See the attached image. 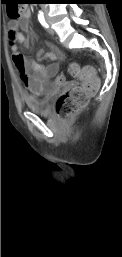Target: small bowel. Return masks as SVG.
I'll list each match as a JSON object with an SVG mask.
<instances>
[{
    "label": "small bowel",
    "mask_w": 122,
    "mask_h": 257,
    "mask_svg": "<svg viewBox=\"0 0 122 257\" xmlns=\"http://www.w3.org/2000/svg\"><path fill=\"white\" fill-rule=\"evenodd\" d=\"M29 19L30 10L24 7L21 16L9 22L8 31L15 73H18V78H21L28 92L27 98L52 94L56 91L52 86V80L53 74H58L57 60L61 57V52L51 44H49L51 52L40 51L38 53L39 60H47V64H40L33 59H28L26 52L18 51V44H23L26 48L29 46V40L23 33H31Z\"/></svg>",
    "instance_id": "c3829d8e"
}]
</instances>
